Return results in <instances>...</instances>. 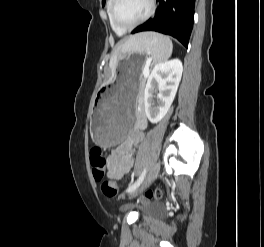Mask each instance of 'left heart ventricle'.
Segmentation results:
<instances>
[{
    "label": "left heart ventricle",
    "mask_w": 264,
    "mask_h": 247,
    "mask_svg": "<svg viewBox=\"0 0 264 247\" xmlns=\"http://www.w3.org/2000/svg\"><path fill=\"white\" fill-rule=\"evenodd\" d=\"M148 8L149 0H120L117 18L122 24H133L147 13Z\"/></svg>",
    "instance_id": "b2bd125f"
}]
</instances>
